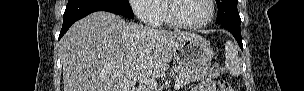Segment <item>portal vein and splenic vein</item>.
<instances>
[{"mask_svg":"<svg viewBox=\"0 0 304 91\" xmlns=\"http://www.w3.org/2000/svg\"><path fill=\"white\" fill-rule=\"evenodd\" d=\"M143 82H144V83H147V84H151V85H153V84L156 83L154 79H147V80H144ZM174 88H175V89H179V88H180L179 84L176 83Z\"/></svg>","mask_w":304,"mask_h":91,"instance_id":"1","label":"portal vein and splenic vein"}]
</instances>
